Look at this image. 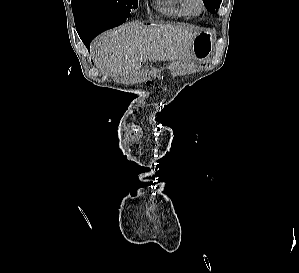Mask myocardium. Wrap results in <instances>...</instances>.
I'll list each match as a JSON object with an SVG mask.
<instances>
[{
  "label": "myocardium",
  "instance_id": "1",
  "mask_svg": "<svg viewBox=\"0 0 299 273\" xmlns=\"http://www.w3.org/2000/svg\"><path fill=\"white\" fill-rule=\"evenodd\" d=\"M186 6L192 15H199L205 9L204 0H185Z\"/></svg>",
  "mask_w": 299,
  "mask_h": 273
}]
</instances>
